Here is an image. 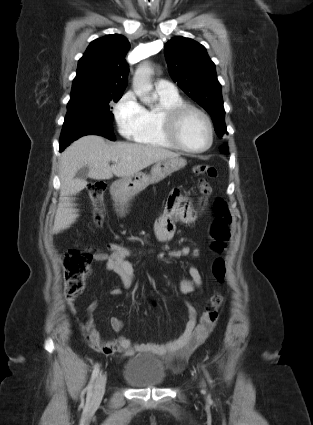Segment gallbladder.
<instances>
[{
    "instance_id": "bac80fb5",
    "label": "gallbladder",
    "mask_w": 313,
    "mask_h": 425,
    "mask_svg": "<svg viewBox=\"0 0 313 425\" xmlns=\"http://www.w3.org/2000/svg\"><path fill=\"white\" fill-rule=\"evenodd\" d=\"M89 174V167L84 166L77 172V178L81 180H85Z\"/></svg>"
}]
</instances>
